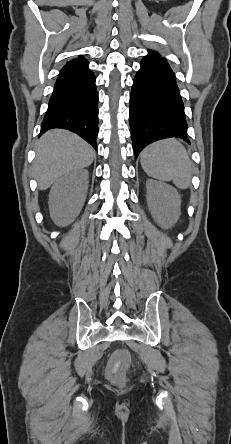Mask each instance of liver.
Segmentation results:
<instances>
[{
  "instance_id": "6515ba94",
  "label": "liver",
  "mask_w": 231,
  "mask_h": 444,
  "mask_svg": "<svg viewBox=\"0 0 231 444\" xmlns=\"http://www.w3.org/2000/svg\"><path fill=\"white\" fill-rule=\"evenodd\" d=\"M95 150L78 135L61 129L46 132L38 141L33 172L40 190H46L64 174L89 166Z\"/></svg>"
}]
</instances>
